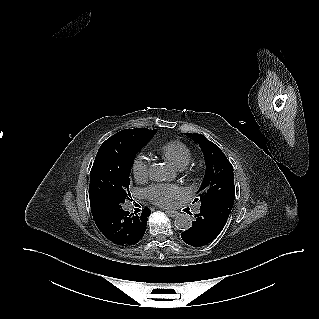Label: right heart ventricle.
Instances as JSON below:
<instances>
[{"label": "right heart ventricle", "mask_w": 319, "mask_h": 319, "mask_svg": "<svg viewBox=\"0 0 319 319\" xmlns=\"http://www.w3.org/2000/svg\"><path fill=\"white\" fill-rule=\"evenodd\" d=\"M164 157L176 168H185L192 159L190 148L180 141H171L161 147Z\"/></svg>", "instance_id": "1"}]
</instances>
